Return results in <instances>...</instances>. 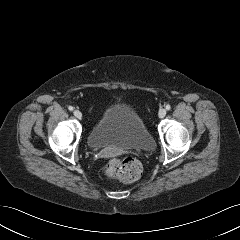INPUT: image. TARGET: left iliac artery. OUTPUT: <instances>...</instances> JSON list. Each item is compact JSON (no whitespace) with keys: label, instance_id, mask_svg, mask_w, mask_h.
<instances>
[{"label":"left iliac artery","instance_id":"obj_1","mask_svg":"<svg viewBox=\"0 0 240 240\" xmlns=\"http://www.w3.org/2000/svg\"><path fill=\"white\" fill-rule=\"evenodd\" d=\"M166 110H170L171 109V106L168 104V105H166Z\"/></svg>","mask_w":240,"mask_h":240}]
</instances>
